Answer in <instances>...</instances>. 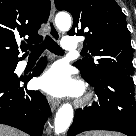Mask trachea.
I'll use <instances>...</instances> for the list:
<instances>
[{"label": "trachea", "instance_id": "1", "mask_svg": "<svg viewBox=\"0 0 136 136\" xmlns=\"http://www.w3.org/2000/svg\"><path fill=\"white\" fill-rule=\"evenodd\" d=\"M46 48L55 54H64V51L61 49V47L53 39L47 36L44 43L29 46L31 51L30 55H40Z\"/></svg>", "mask_w": 136, "mask_h": 136}]
</instances>
